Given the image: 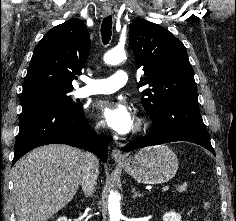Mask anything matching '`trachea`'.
Here are the masks:
<instances>
[{
  "label": "trachea",
  "instance_id": "1",
  "mask_svg": "<svg viewBox=\"0 0 236 221\" xmlns=\"http://www.w3.org/2000/svg\"><path fill=\"white\" fill-rule=\"evenodd\" d=\"M112 35V17L107 16L103 19L102 25H101V36L102 41L106 45L109 43Z\"/></svg>",
  "mask_w": 236,
  "mask_h": 221
}]
</instances>
